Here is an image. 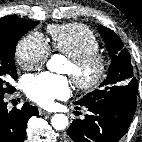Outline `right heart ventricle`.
Returning <instances> with one entry per match:
<instances>
[{
    "mask_svg": "<svg viewBox=\"0 0 142 142\" xmlns=\"http://www.w3.org/2000/svg\"><path fill=\"white\" fill-rule=\"evenodd\" d=\"M48 32L52 48L69 58L98 51L100 47L94 32L80 23L51 25Z\"/></svg>",
    "mask_w": 142,
    "mask_h": 142,
    "instance_id": "obj_1",
    "label": "right heart ventricle"
}]
</instances>
